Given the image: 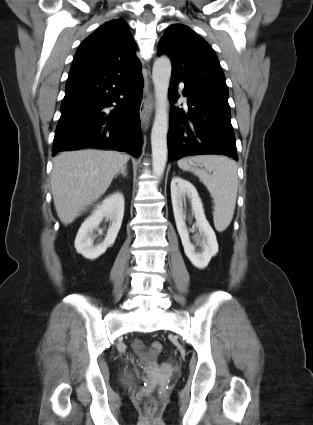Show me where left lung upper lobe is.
<instances>
[{
    "label": "left lung upper lobe",
    "instance_id": "obj_1",
    "mask_svg": "<svg viewBox=\"0 0 313 425\" xmlns=\"http://www.w3.org/2000/svg\"><path fill=\"white\" fill-rule=\"evenodd\" d=\"M167 54L172 76L200 89L228 94L225 76L211 46L188 26L170 25L160 40L158 55Z\"/></svg>",
    "mask_w": 313,
    "mask_h": 425
}]
</instances>
